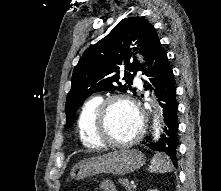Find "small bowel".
<instances>
[{"instance_id": "small-bowel-1", "label": "small bowel", "mask_w": 221, "mask_h": 191, "mask_svg": "<svg viewBox=\"0 0 221 191\" xmlns=\"http://www.w3.org/2000/svg\"><path fill=\"white\" fill-rule=\"evenodd\" d=\"M99 189L101 191H117L115 185L111 181H108V180L102 181L99 184Z\"/></svg>"}]
</instances>
